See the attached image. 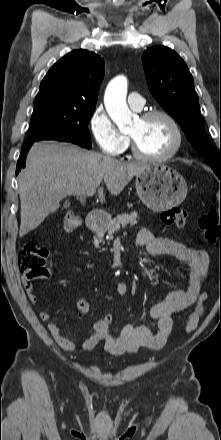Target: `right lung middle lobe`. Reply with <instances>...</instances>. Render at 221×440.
Segmentation results:
<instances>
[{
    "mask_svg": "<svg viewBox=\"0 0 221 440\" xmlns=\"http://www.w3.org/2000/svg\"><path fill=\"white\" fill-rule=\"evenodd\" d=\"M94 110L57 101L36 103L27 141L59 140L90 149L88 123Z\"/></svg>",
    "mask_w": 221,
    "mask_h": 440,
    "instance_id": "1",
    "label": "right lung middle lobe"
}]
</instances>
